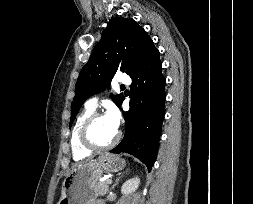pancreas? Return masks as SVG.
<instances>
[{
	"instance_id": "cf45deb5",
	"label": "pancreas",
	"mask_w": 253,
	"mask_h": 204,
	"mask_svg": "<svg viewBox=\"0 0 253 204\" xmlns=\"http://www.w3.org/2000/svg\"><path fill=\"white\" fill-rule=\"evenodd\" d=\"M108 188L107 181H103L94 186V191L97 195L103 196L108 192Z\"/></svg>"
}]
</instances>
